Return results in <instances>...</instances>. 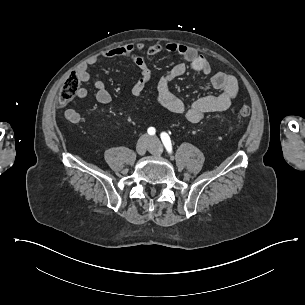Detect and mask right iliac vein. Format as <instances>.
<instances>
[{"instance_id":"1","label":"right iliac vein","mask_w":305,"mask_h":305,"mask_svg":"<svg viewBox=\"0 0 305 305\" xmlns=\"http://www.w3.org/2000/svg\"><path fill=\"white\" fill-rule=\"evenodd\" d=\"M148 149H150L149 140L147 138H141L136 145L137 153L139 155H144Z\"/></svg>"}]
</instances>
